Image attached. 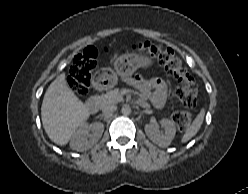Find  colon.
Instances as JSON below:
<instances>
[{
	"label": "colon",
	"instance_id": "1",
	"mask_svg": "<svg viewBox=\"0 0 248 194\" xmlns=\"http://www.w3.org/2000/svg\"><path fill=\"white\" fill-rule=\"evenodd\" d=\"M127 50L145 52L155 58L165 68L166 72L178 81V85L173 91L174 97L187 109L196 106L197 85L173 51L163 45L150 42L133 43L127 47ZM96 62L97 51L93 47H87L75 57L67 82L76 95L85 96L88 93L96 69ZM193 117V114L189 111H180L173 114V121L179 130L184 131L192 124Z\"/></svg>",
	"mask_w": 248,
	"mask_h": 194
}]
</instances>
